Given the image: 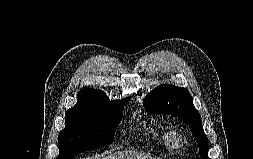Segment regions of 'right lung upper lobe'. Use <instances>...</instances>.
<instances>
[{"mask_svg": "<svg viewBox=\"0 0 253 159\" xmlns=\"http://www.w3.org/2000/svg\"><path fill=\"white\" fill-rule=\"evenodd\" d=\"M130 97L124 98L123 100L116 101H124L128 100ZM110 102L109 98L106 96V93L99 89H83L77 95V103H107Z\"/></svg>", "mask_w": 253, "mask_h": 159, "instance_id": "cb5924a9", "label": "right lung upper lobe"}]
</instances>
